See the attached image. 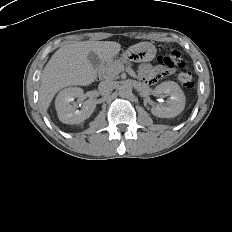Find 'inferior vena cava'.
<instances>
[{"label":"inferior vena cava","instance_id":"602c4592","mask_svg":"<svg viewBox=\"0 0 232 232\" xmlns=\"http://www.w3.org/2000/svg\"><path fill=\"white\" fill-rule=\"evenodd\" d=\"M114 87V82L111 80H104L101 81L98 85V90L101 95H107L109 94Z\"/></svg>","mask_w":232,"mask_h":232}]
</instances>
